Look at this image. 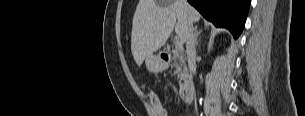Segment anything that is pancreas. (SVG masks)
I'll return each mask as SVG.
<instances>
[{
	"instance_id": "cf45deb5",
	"label": "pancreas",
	"mask_w": 305,
	"mask_h": 116,
	"mask_svg": "<svg viewBox=\"0 0 305 116\" xmlns=\"http://www.w3.org/2000/svg\"><path fill=\"white\" fill-rule=\"evenodd\" d=\"M172 59L175 60L174 66L176 67L177 78L181 79L186 73V66L182 58V50H174Z\"/></svg>"
}]
</instances>
